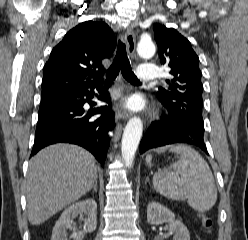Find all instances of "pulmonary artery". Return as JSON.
<instances>
[{
    "mask_svg": "<svg viewBox=\"0 0 248 240\" xmlns=\"http://www.w3.org/2000/svg\"><path fill=\"white\" fill-rule=\"evenodd\" d=\"M160 75L159 68L154 64H141L137 70V78L140 81H153Z\"/></svg>",
    "mask_w": 248,
    "mask_h": 240,
    "instance_id": "obj_1",
    "label": "pulmonary artery"
}]
</instances>
